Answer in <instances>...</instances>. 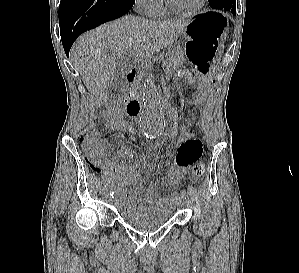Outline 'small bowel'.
Listing matches in <instances>:
<instances>
[{"label": "small bowel", "mask_w": 299, "mask_h": 273, "mask_svg": "<svg viewBox=\"0 0 299 273\" xmlns=\"http://www.w3.org/2000/svg\"><path fill=\"white\" fill-rule=\"evenodd\" d=\"M104 124L111 130L129 132L131 134L136 132L134 124L125 121L120 111L115 108H110L106 111ZM202 152L201 142L193 136H189L180 144H175V153L166 163L168 170L166 187L168 189H173L179 183L186 175L189 167L201 158ZM118 155L122 159L134 160V162L129 164H116L113 169L116 175L117 192L120 196V206L123 210L147 216L155 210L174 207L176 195L163 197L152 189L144 192L143 184H137L142 163L133 152L126 147H122L119 149ZM128 185H134V187L127 189L126 186ZM142 194V200L138 204Z\"/></svg>", "instance_id": "small-bowel-1"}]
</instances>
